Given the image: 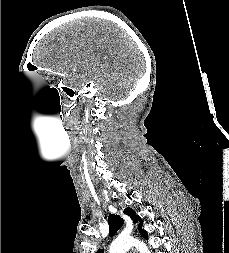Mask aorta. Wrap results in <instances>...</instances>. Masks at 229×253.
I'll list each match as a JSON object with an SVG mask.
<instances>
[{
	"label": "aorta",
	"instance_id": "762f6f07",
	"mask_svg": "<svg viewBox=\"0 0 229 253\" xmlns=\"http://www.w3.org/2000/svg\"><path fill=\"white\" fill-rule=\"evenodd\" d=\"M132 246H135L140 253H150L144 242L136 239H124L120 237L112 242L109 253H126Z\"/></svg>",
	"mask_w": 229,
	"mask_h": 253
}]
</instances>
